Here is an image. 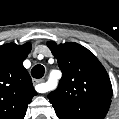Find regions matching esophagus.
I'll list each match as a JSON object with an SVG mask.
<instances>
[{
  "label": "esophagus",
  "instance_id": "obj_1",
  "mask_svg": "<svg viewBox=\"0 0 119 119\" xmlns=\"http://www.w3.org/2000/svg\"><path fill=\"white\" fill-rule=\"evenodd\" d=\"M44 80H42V79H33V84L34 85H37V84H39V83H42Z\"/></svg>",
  "mask_w": 119,
  "mask_h": 119
}]
</instances>
